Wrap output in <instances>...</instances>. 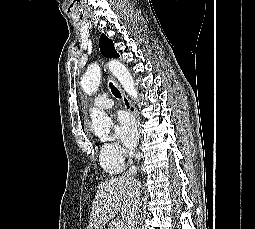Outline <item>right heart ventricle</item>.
<instances>
[{
  "label": "right heart ventricle",
  "mask_w": 255,
  "mask_h": 229,
  "mask_svg": "<svg viewBox=\"0 0 255 229\" xmlns=\"http://www.w3.org/2000/svg\"><path fill=\"white\" fill-rule=\"evenodd\" d=\"M99 162L101 167L110 174L121 173L124 169V163L113 162L107 157L104 145L99 150Z\"/></svg>",
  "instance_id": "obj_1"
}]
</instances>
